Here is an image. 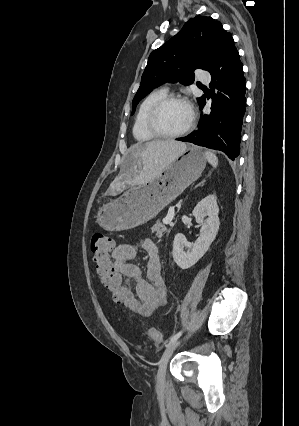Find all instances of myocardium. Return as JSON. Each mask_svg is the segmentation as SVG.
I'll return each instance as SVG.
<instances>
[{"label": "myocardium", "mask_w": 299, "mask_h": 426, "mask_svg": "<svg viewBox=\"0 0 299 426\" xmlns=\"http://www.w3.org/2000/svg\"><path fill=\"white\" fill-rule=\"evenodd\" d=\"M171 102H182L184 104H186L189 109H190V120L189 123L187 124V126L185 128H183L182 130L178 131V132H174V133H168L163 131L158 123V118H159V114L162 111V109L169 103ZM194 125V111L193 108L190 104V102L188 101L187 98H185L184 96L181 95H166L163 98H161L160 100H158L153 107L151 108L148 117H147V127L149 129V131L155 135L156 137L159 138H164V139H173V138H178L181 136H184L185 134H187L188 132L191 131V129L193 128Z\"/></svg>", "instance_id": "f54148a6"}]
</instances>
